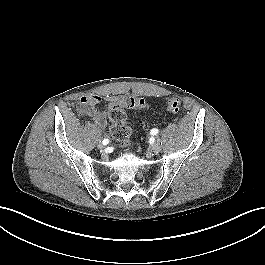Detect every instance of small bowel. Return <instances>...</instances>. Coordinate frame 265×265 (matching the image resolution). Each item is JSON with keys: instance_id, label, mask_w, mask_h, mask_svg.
<instances>
[{"instance_id": "small-bowel-1", "label": "small bowel", "mask_w": 265, "mask_h": 265, "mask_svg": "<svg viewBox=\"0 0 265 265\" xmlns=\"http://www.w3.org/2000/svg\"><path fill=\"white\" fill-rule=\"evenodd\" d=\"M118 100L117 97H109L105 99L107 105L110 106ZM103 101V98L99 94H89L82 96L79 101V108L81 112L85 115L91 117L94 122L100 126L104 127L106 125V111H98L96 106Z\"/></svg>"}]
</instances>
